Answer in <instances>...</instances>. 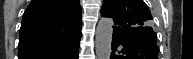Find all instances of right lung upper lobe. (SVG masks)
Masks as SVG:
<instances>
[{"label": "right lung upper lobe", "mask_w": 193, "mask_h": 59, "mask_svg": "<svg viewBox=\"0 0 193 59\" xmlns=\"http://www.w3.org/2000/svg\"><path fill=\"white\" fill-rule=\"evenodd\" d=\"M80 37L79 0H32L23 15L18 59L51 55Z\"/></svg>", "instance_id": "cb5924a9"}]
</instances>
